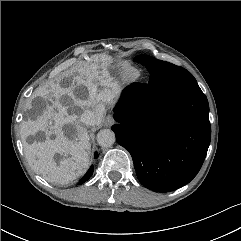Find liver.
I'll return each instance as SVG.
<instances>
[{
  "label": "liver",
  "instance_id": "obj_1",
  "mask_svg": "<svg viewBox=\"0 0 241 241\" xmlns=\"http://www.w3.org/2000/svg\"><path fill=\"white\" fill-rule=\"evenodd\" d=\"M110 60L105 54L94 55L91 61L77 66L66 76L64 86L60 84L61 79L51 82L49 89L37 94L44 100V107L35 110L34 120L22 122L25 156L34 171L47 181L68 184L88 168L90 137L80 121L82 114L75 107L95 113L92 126L101 123L106 105L112 104L120 92L118 83L107 70ZM82 87L87 93L81 97ZM29 107L33 108L31 104ZM38 132H44L45 140L29 144L27 138ZM56 154L63 156L59 163L54 159Z\"/></svg>",
  "mask_w": 241,
  "mask_h": 241
}]
</instances>
